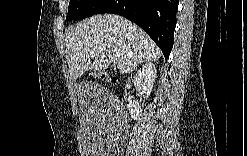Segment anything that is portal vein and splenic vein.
<instances>
[{
  "label": "portal vein and splenic vein",
  "instance_id": "portal-vein-and-splenic-vein-1",
  "mask_svg": "<svg viewBox=\"0 0 247 156\" xmlns=\"http://www.w3.org/2000/svg\"><path fill=\"white\" fill-rule=\"evenodd\" d=\"M110 61H111L113 64H116V61H115V60L111 59Z\"/></svg>",
  "mask_w": 247,
  "mask_h": 156
}]
</instances>
